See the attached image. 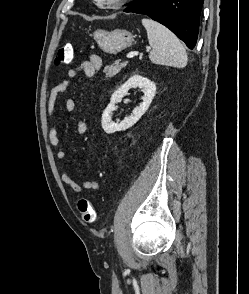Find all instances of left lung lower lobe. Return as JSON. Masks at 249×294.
I'll use <instances>...</instances> for the list:
<instances>
[{
  "label": "left lung lower lobe",
  "instance_id": "left-lung-lower-lobe-1",
  "mask_svg": "<svg viewBox=\"0 0 249 294\" xmlns=\"http://www.w3.org/2000/svg\"><path fill=\"white\" fill-rule=\"evenodd\" d=\"M204 0H134L124 12L148 15L165 25L189 49L195 47Z\"/></svg>",
  "mask_w": 249,
  "mask_h": 294
}]
</instances>
